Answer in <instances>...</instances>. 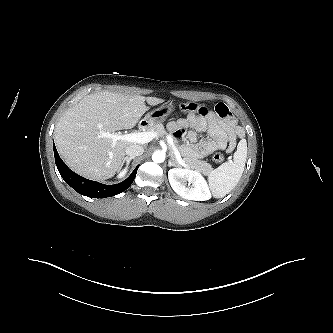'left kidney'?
Instances as JSON below:
<instances>
[{
  "label": "left kidney",
  "mask_w": 333,
  "mask_h": 333,
  "mask_svg": "<svg viewBox=\"0 0 333 333\" xmlns=\"http://www.w3.org/2000/svg\"><path fill=\"white\" fill-rule=\"evenodd\" d=\"M168 179L172 189L185 199L205 201L211 198L208 184L198 171L183 168L170 169Z\"/></svg>",
  "instance_id": "5707ae66"
}]
</instances>
